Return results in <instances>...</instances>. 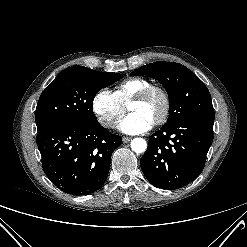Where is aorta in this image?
<instances>
[{"instance_id": "762f6f07", "label": "aorta", "mask_w": 247, "mask_h": 247, "mask_svg": "<svg viewBox=\"0 0 247 247\" xmlns=\"http://www.w3.org/2000/svg\"><path fill=\"white\" fill-rule=\"evenodd\" d=\"M131 149L135 153H143L147 149V142L143 138H134L131 141Z\"/></svg>"}]
</instances>
